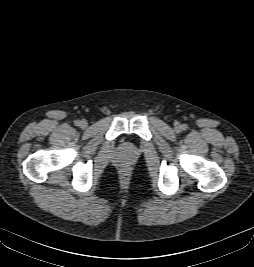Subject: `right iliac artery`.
I'll return each instance as SVG.
<instances>
[{"label":"right iliac artery","mask_w":254,"mask_h":267,"mask_svg":"<svg viewBox=\"0 0 254 267\" xmlns=\"http://www.w3.org/2000/svg\"><path fill=\"white\" fill-rule=\"evenodd\" d=\"M80 122H81V121L76 120L74 123H75L76 126H80Z\"/></svg>","instance_id":"1"}]
</instances>
